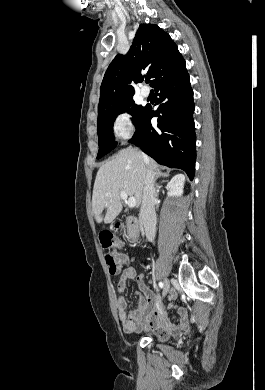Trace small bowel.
Instances as JSON below:
<instances>
[{
	"label": "small bowel",
	"instance_id": "1",
	"mask_svg": "<svg viewBox=\"0 0 265 390\" xmlns=\"http://www.w3.org/2000/svg\"><path fill=\"white\" fill-rule=\"evenodd\" d=\"M134 261L133 257H125L123 262L124 270L121 274L117 285V312L123 330L127 333H133L142 328V322L148 317L149 311L154 307L151 320L147 324V328L151 329L158 337L165 338L167 334L174 328L170 322L168 314L163 308H160L155 294L144 284L143 275L137 274L131 266ZM135 279L142 293L139 303L135 310L129 314L126 312L127 301L125 291L129 280ZM179 324L183 328L188 327L189 317L185 309L179 308Z\"/></svg>",
	"mask_w": 265,
	"mask_h": 390
}]
</instances>
